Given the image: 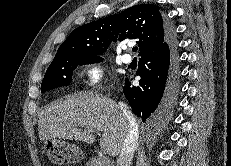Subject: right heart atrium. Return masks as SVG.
<instances>
[{"label": "right heart atrium", "instance_id": "right-heart-atrium-1", "mask_svg": "<svg viewBox=\"0 0 231 166\" xmlns=\"http://www.w3.org/2000/svg\"><path fill=\"white\" fill-rule=\"evenodd\" d=\"M83 74L85 77L86 85L89 88H98L104 80V69L101 63L91 61L84 65Z\"/></svg>", "mask_w": 231, "mask_h": 166}]
</instances>
